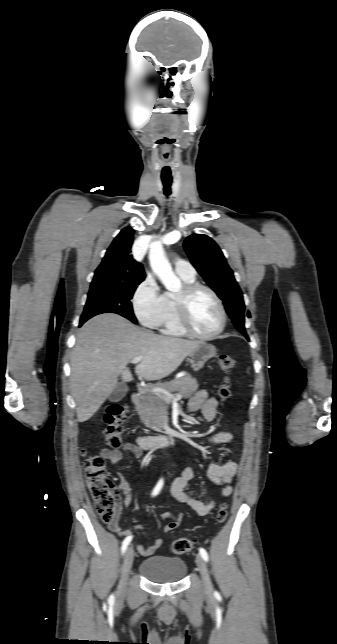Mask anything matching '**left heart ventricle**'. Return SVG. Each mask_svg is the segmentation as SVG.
I'll return each mask as SVG.
<instances>
[{
    "label": "left heart ventricle",
    "mask_w": 337,
    "mask_h": 644,
    "mask_svg": "<svg viewBox=\"0 0 337 644\" xmlns=\"http://www.w3.org/2000/svg\"><path fill=\"white\" fill-rule=\"evenodd\" d=\"M189 319L193 329L200 334H210L219 327L220 311L214 298L207 291L200 290L192 297Z\"/></svg>",
    "instance_id": "b2bd125f"
}]
</instances>
